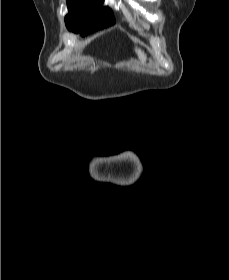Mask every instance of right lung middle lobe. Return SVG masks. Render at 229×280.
Instances as JSON below:
<instances>
[{"label":"right lung middle lobe","mask_w":229,"mask_h":280,"mask_svg":"<svg viewBox=\"0 0 229 280\" xmlns=\"http://www.w3.org/2000/svg\"><path fill=\"white\" fill-rule=\"evenodd\" d=\"M101 3L97 0H67L69 13L65 24L68 30L85 36L113 25L115 19L112 10L102 7Z\"/></svg>","instance_id":"obj_1"}]
</instances>
